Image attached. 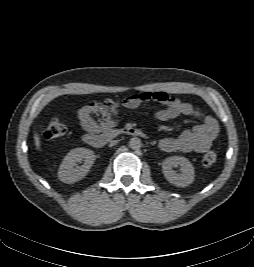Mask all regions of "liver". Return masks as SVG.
<instances>
[{"mask_svg":"<svg viewBox=\"0 0 254 267\" xmlns=\"http://www.w3.org/2000/svg\"><path fill=\"white\" fill-rule=\"evenodd\" d=\"M34 142H35L36 149L39 150L41 142H40V138L37 133H34Z\"/></svg>","mask_w":254,"mask_h":267,"instance_id":"obj_1","label":"liver"}]
</instances>
